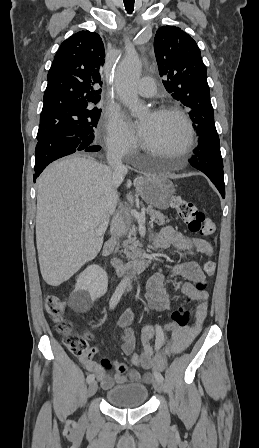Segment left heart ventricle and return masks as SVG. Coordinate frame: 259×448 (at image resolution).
Listing matches in <instances>:
<instances>
[{
  "label": "left heart ventricle",
  "mask_w": 259,
  "mask_h": 448,
  "mask_svg": "<svg viewBox=\"0 0 259 448\" xmlns=\"http://www.w3.org/2000/svg\"><path fill=\"white\" fill-rule=\"evenodd\" d=\"M139 136L140 140L153 150V153L174 156L173 148L184 139L185 127L174 114L157 116L147 113L141 118Z\"/></svg>",
  "instance_id": "b2bd125f"
}]
</instances>
